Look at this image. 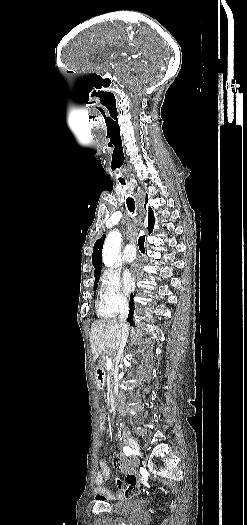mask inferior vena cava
<instances>
[{"label": "inferior vena cava", "instance_id": "obj_1", "mask_svg": "<svg viewBox=\"0 0 247 525\" xmlns=\"http://www.w3.org/2000/svg\"><path fill=\"white\" fill-rule=\"evenodd\" d=\"M129 315V303L127 301H120L119 303V325H121L122 333L120 337L119 343H117V355H116V363L119 365L123 351L126 347L128 335H129V325L127 323ZM115 385L118 387V375L115 377Z\"/></svg>", "mask_w": 247, "mask_h": 525}]
</instances>
